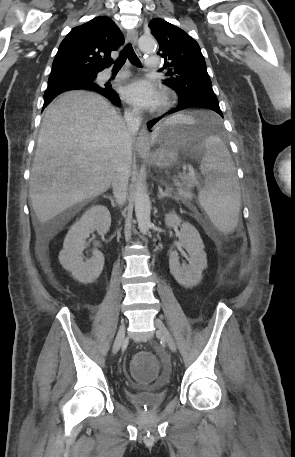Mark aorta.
<instances>
[{
    "instance_id": "1",
    "label": "aorta",
    "mask_w": 295,
    "mask_h": 457,
    "mask_svg": "<svg viewBox=\"0 0 295 457\" xmlns=\"http://www.w3.org/2000/svg\"><path fill=\"white\" fill-rule=\"evenodd\" d=\"M139 48L143 52L152 51L155 48L153 36L142 35L139 39ZM134 205L138 228L142 234H146L151 224V202L147 194L145 177L143 175H138L136 178Z\"/></svg>"
}]
</instances>
